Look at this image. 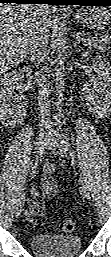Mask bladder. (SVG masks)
<instances>
[{"instance_id":"bladder-1","label":"bladder","mask_w":111,"mask_h":257,"mask_svg":"<svg viewBox=\"0 0 111 257\" xmlns=\"http://www.w3.org/2000/svg\"><path fill=\"white\" fill-rule=\"evenodd\" d=\"M30 249L38 257H74L82 248L77 235H53L40 233L32 236Z\"/></svg>"}]
</instances>
